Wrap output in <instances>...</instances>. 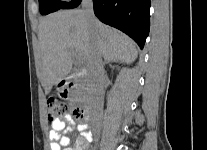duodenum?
<instances>
[{
  "mask_svg": "<svg viewBox=\"0 0 207 150\" xmlns=\"http://www.w3.org/2000/svg\"><path fill=\"white\" fill-rule=\"evenodd\" d=\"M64 85H66L67 87H74L76 85L75 80L72 77H68L67 79H65L64 81ZM93 87H88L87 91L89 93L93 92ZM81 114L83 115V117H88L90 115V109L88 107H84L81 109Z\"/></svg>",
  "mask_w": 207,
  "mask_h": 150,
  "instance_id": "1",
  "label": "duodenum"
}]
</instances>
